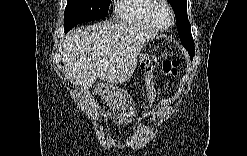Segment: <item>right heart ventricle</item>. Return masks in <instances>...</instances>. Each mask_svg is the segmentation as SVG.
<instances>
[{
  "label": "right heart ventricle",
  "instance_id": "obj_1",
  "mask_svg": "<svg viewBox=\"0 0 247 156\" xmlns=\"http://www.w3.org/2000/svg\"><path fill=\"white\" fill-rule=\"evenodd\" d=\"M153 0H123L115 8L116 16L123 22L145 29H156L149 17Z\"/></svg>",
  "mask_w": 247,
  "mask_h": 156
}]
</instances>
